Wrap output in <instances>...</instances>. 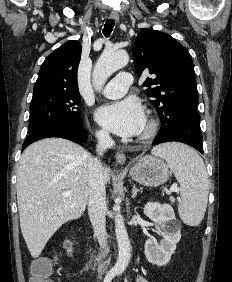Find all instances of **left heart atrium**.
Wrapping results in <instances>:
<instances>
[{
	"mask_svg": "<svg viewBox=\"0 0 232 282\" xmlns=\"http://www.w3.org/2000/svg\"><path fill=\"white\" fill-rule=\"evenodd\" d=\"M96 119L104 128L122 137L138 135L145 126L143 107L134 98L100 107L97 110Z\"/></svg>",
	"mask_w": 232,
	"mask_h": 282,
	"instance_id": "left-heart-atrium-1",
	"label": "left heart atrium"
}]
</instances>
